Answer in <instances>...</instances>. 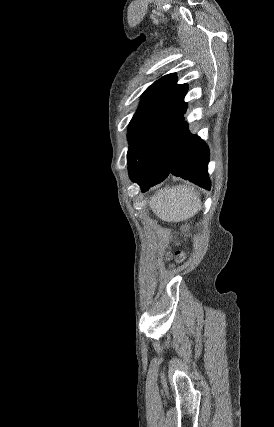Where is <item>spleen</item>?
I'll return each mask as SVG.
<instances>
[{
	"instance_id": "3e777b00",
	"label": "spleen",
	"mask_w": 274,
	"mask_h": 427,
	"mask_svg": "<svg viewBox=\"0 0 274 427\" xmlns=\"http://www.w3.org/2000/svg\"><path fill=\"white\" fill-rule=\"evenodd\" d=\"M149 206L153 214L163 221H182L197 214L201 202L194 186L181 184L156 192L155 196L150 198Z\"/></svg>"
}]
</instances>
